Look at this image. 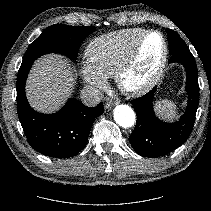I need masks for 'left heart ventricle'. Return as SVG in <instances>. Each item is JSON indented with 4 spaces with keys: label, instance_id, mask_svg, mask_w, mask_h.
Segmentation results:
<instances>
[{
    "label": "left heart ventricle",
    "instance_id": "b2bd125f",
    "mask_svg": "<svg viewBox=\"0 0 211 211\" xmlns=\"http://www.w3.org/2000/svg\"><path fill=\"white\" fill-rule=\"evenodd\" d=\"M161 55V38L157 34L149 35L142 45L137 65L127 77V83L136 86L146 81L157 68Z\"/></svg>",
    "mask_w": 211,
    "mask_h": 211
}]
</instances>
